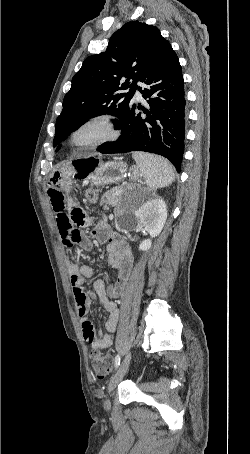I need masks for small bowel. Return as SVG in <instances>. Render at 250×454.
<instances>
[{"mask_svg": "<svg viewBox=\"0 0 250 454\" xmlns=\"http://www.w3.org/2000/svg\"><path fill=\"white\" fill-rule=\"evenodd\" d=\"M79 185L71 176L55 173L47 183V193L55 213L56 222L63 243L66 246L78 244L83 250L91 251L93 241L79 227L87 226L91 219L76 204L75 194ZM92 237L99 242H108L106 253L109 266L114 270L112 283L107 286L101 278L95 280L94 291L89 293L84 280L93 276V270L87 265L68 263L70 282L74 300L81 321L83 337L93 349H107L113 344L114 332L119 321L117 301L123 294L132 268V256L129 247L114 235L105 221L99 222L92 231ZM92 297H97L108 312L106 333L95 331L88 310Z\"/></svg>", "mask_w": 250, "mask_h": 454, "instance_id": "obj_1", "label": "small bowel"}]
</instances>
